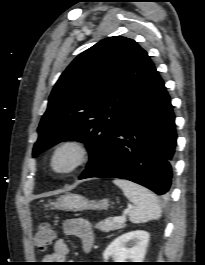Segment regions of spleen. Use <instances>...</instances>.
<instances>
[{
  "instance_id": "1",
  "label": "spleen",
  "mask_w": 205,
  "mask_h": 265,
  "mask_svg": "<svg viewBox=\"0 0 205 265\" xmlns=\"http://www.w3.org/2000/svg\"><path fill=\"white\" fill-rule=\"evenodd\" d=\"M113 182L134 204L129 214L132 223H144L161 217L162 209L158 199L150 190L128 180L115 179Z\"/></svg>"
}]
</instances>
